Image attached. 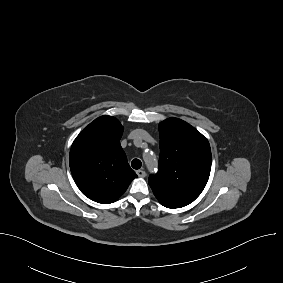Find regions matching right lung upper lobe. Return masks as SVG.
Wrapping results in <instances>:
<instances>
[{
  "instance_id": "1",
  "label": "right lung upper lobe",
  "mask_w": 283,
  "mask_h": 283,
  "mask_svg": "<svg viewBox=\"0 0 283 283\" xmlns=\"http://www.w3.org/2000/svg\"><path fill=\"white\" fill-rule=\"evenodd\" d=\"M122 134L123 127L116 118L101 116L72 144V176L82 193L98 203L115 202L137 177L120 145Z\"/></svg>"
}]
</instances>
